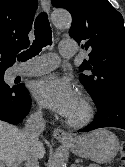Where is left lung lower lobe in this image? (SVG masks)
<instances>
[{"label": "left lung lower lobe", "instance_id": "obj_1", "mask_svg": "<svg viewBox=\"0 0 125 167\" xmlns=\"http://www.w3.org/2000/svg\"><path fill=\"white\" fill-rule=\"evenodd\" d=\"M97 108L99 112L94 121L78 132H89L103 127L125 129V94L109 95Z\"/></svg>", "mask_w": 125, "mask_h": 167}]
</instances>
